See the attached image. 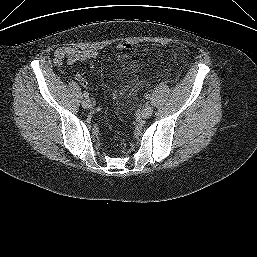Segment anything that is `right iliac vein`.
<instances>
[{"mask_svg": "<svg viewBox=\"0 0 257 257\" xmlns=\"http://www.w3.org/2000/svg\"><path fill=\"white\" fill-rule=\"evenodd\" d=\"M82 106L85 108V109H91L92 108V103L91 101L88 99V100H85L82 102Z\"/></svg>", "mask_w": 257, "mask_h": 257, "instance_id": "obj_1", "label": "right iliac vein"}]
</instances>
